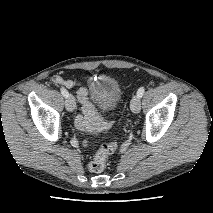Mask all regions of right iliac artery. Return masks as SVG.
I'll return each mask as SVG.
<instances>
[{
    "label": "right iliac artery",
    "mask_w": 213,
    "mask_h": 213,
    "mask_svg": "<svg viewBox=\"0 0 213 213\" xmlns=\"http://www.w3.org/2000/svg\"><path fill=\"white\" fill-rule=\"evenodd\" d=\"M61 94H62L65 98H67V97L69 96L68 91H67L64 87L61 88Z\"/></svg>",
    "instance_id": "obj_1"
}]
</instances>
